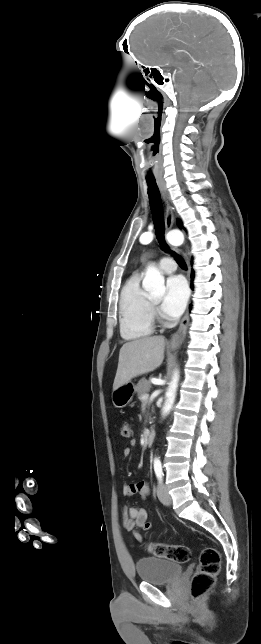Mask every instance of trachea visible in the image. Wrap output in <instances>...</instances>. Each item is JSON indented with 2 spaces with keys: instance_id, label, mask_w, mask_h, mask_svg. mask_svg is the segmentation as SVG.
<instances>
[{
  "instance_id": "trachea-1",
  "label": "trachea",
  "mask_w": 261,
  "mask_h": 644,
  "mask_svg": "<svg viewBox=\"0 0 261 644\" xmlns=\"http://www.w3.org/2000/svg\"><path fill=\"white\" fill-rule=\"evenodd\" d=\"M147 184H148L149 202L152 210L154 228H155V233H156L158 242L160 243L161 247L164 250L170 251L164 238L165 225H164L162 202H161L158 186L155 180H147ZM172 253L175 255V259L179 264V266L186 269L187 266L185 261L179 255H176L174 252Z\"/></svg>"
}]
</instances>
